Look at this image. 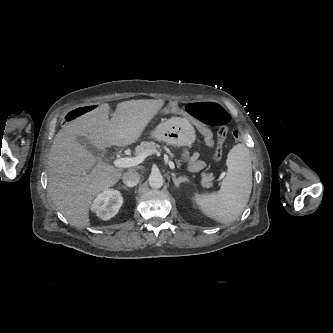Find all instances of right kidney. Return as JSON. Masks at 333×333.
I'll use <instances>...</instances> for the list:
<instances>
[{
  "label": "right kidney",
  "mask_w": 333,
  "mask_h": 333,
  "mask_svg": "<svg viewBox=\"0 0 333 333\" xmlns=\"http://www.w3.org/2000/svg\"><path fill=\"white\" fill-rule=\"evenodd\" d=\"M123 203V197L117 190L107 189L97 195L91 210L102 220L114 217Z\"/></svg>",
  "instance_id": "ca27d5eb"
}]
</instances>
